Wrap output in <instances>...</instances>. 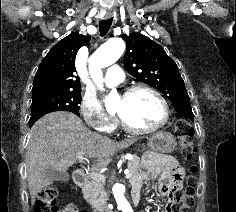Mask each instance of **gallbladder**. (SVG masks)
<instances>
[{"label":"gallbladder","instance_id":"bac80fb5","mask_svg":"<svg viewBox=\"0 0 236 212\" xmlns=\"http://www.w3.org/2000/svg\"><path fill=\"white\" fill-rule=\"evenodd\" d=\"M45 176L47 179L51 180V181H68L69 179V174L66 172H60L57 171L53 168H49L46 170L45 172Z\"/></svg>","mask_w":236,"mask_h":212}]
</instances>
